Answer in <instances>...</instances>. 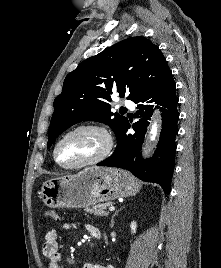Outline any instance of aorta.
<instances>
[{
  "label": "aorta",
  "instance_id": "762f6f07",
  "mask_svg": "<svg viewBox=\"0 0 221 268\" xmlns=\"http://www.w3.org/2000/svg\"><path fill=\"white\" fill-rule=\"evenodd\" d=\"M158 133V126L157 123L155 122L152 127H151V131H150V140L153 141L155 140L156 136Z\"/></svg>",
  "mask_w": 221,
  "mask_h": 268
}]
</instances>
